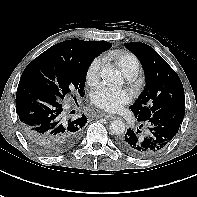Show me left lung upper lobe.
<instances>
[{"mask_svg":"<svg viewBox=\"0 0 197 197\" xmlns=\"http://www.w3.org/2000/svg\"><path fill=\"white\" fill-rule=\"evenodd\" d=\"M143 66L146 86L130 106L137 121H146L158 109L185 104L182 82L170 65L149 45L141 42L125 43Z\"/></svg>","mask_w":197,"mask_h":197,"instance_id":"obj_1","label":"left lung upper lobe"}]
</instances>
